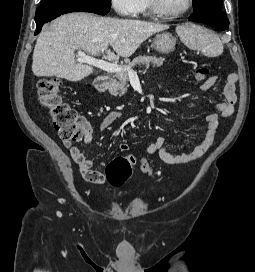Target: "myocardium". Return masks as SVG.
I'll list each match as a JSON object with an SVG mask.
<instances>
[{"mask_svg":"<svg viewBox=\"0 0 255 272\" xmlns=\"http://www.w3.org/2000/svg\"><path fill=\"white\" fill-rule=\"evenodd\" d=\"M148 5L153 15L166 19H174L179 18L188 13L193 6V0H188L187 6L183 10L174 13L164 11L161 7L160 0H148Z\"/></svg>","mask_w":255,"mask_h":272,"instance_id":"f54148a6","label":"myocardium"}]
</instances>
